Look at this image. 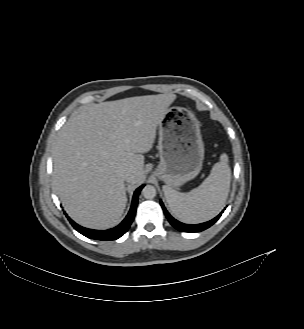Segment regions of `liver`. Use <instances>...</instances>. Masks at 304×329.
I'll return each mask as SVG.
<instances>
[{
	"mask_svg": "<svg viewBox=\"0 0 304 329\" xmlns=\"http://www.w3.org/2000/svg\"><path fill=\"white\" fill-rule=\"evenodd\" d=\"M175 99L170 93L92 104L61 128L53 146V185L73 220L92 229L118 223L127 203L124 183L144 181L143 154Z\"/></svg>",
	"mask_w": 304,
	"mask_h": 329,
	"instance_id": "liver-1",
	"label": "liver"
}]
</instances>
